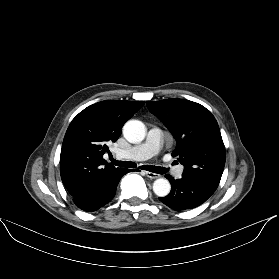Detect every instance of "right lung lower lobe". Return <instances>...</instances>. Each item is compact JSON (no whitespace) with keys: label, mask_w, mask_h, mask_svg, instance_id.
Listing matches in <instances>:
<instances>
[{"label":"right lung lower lobe","mask_w":279,"mask_h":279,"mask_svg":"<svg viewBox=\"0 0 279 279\" xmlns=\"http://www.w3.org/2000/svg\"><path fill=\"white\" fill-rule=\"evenodd\" d=\"M130 169H124L116 176L106 180L96 188L82 195L74 196V203L84 211H95L110 202L116 193L117 185L123 175L130 172Z\"/></svg>","instance_id":"obj_1"}]
</instances>
